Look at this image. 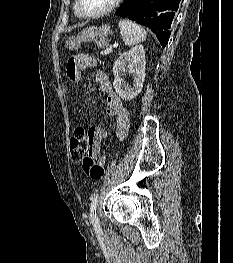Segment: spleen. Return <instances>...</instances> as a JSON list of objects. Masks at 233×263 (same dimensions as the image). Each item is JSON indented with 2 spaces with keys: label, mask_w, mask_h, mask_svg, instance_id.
I'll return each mask as SVG.
<instances>
[{
  "label": "spleen",
  "mask_w": 233,
  "mask_h": 263,
  "mask_svg": "<svg viewBox=\"0 0 233 263\" xmlns=\"http://www.w3.org/2000/svg\"><path fill=\"white\" fill-rule=\"evenodd\" d=\"M119 28L122 39L126 46H132L143 42L146 37V31L138 24L122 19L119 21Z\"/></svg>",
  "instance_id": "spleen-1"
}]
</instances>
